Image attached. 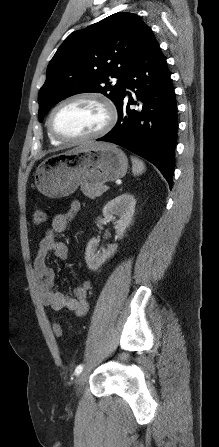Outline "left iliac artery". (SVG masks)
<instances>
[{"instance_id": "obj_1", "label": "left iliac artery", "mask_w": 219, "mask_h": 447, "mask_svg": "<svg viewBox=\"0 0 219 447\" xmlns=\"http://www.w3.org/2000/svg\"><path fill=\"white\" fill-rule=\"evenodd\" d=\"M83 370V365H78L75 369V375H79Z\"/></svg>"}]
</instances>
